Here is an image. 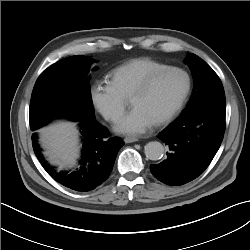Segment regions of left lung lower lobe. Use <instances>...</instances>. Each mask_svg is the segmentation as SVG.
<instances>
[{
	"label": "left lung lower lobe",
	"instance_id": "left-lung-lower-lobe-1",
	"mask_svg": "<svg viewBox=\"0 0 250 250\" xmlns=\"http://www.w3.org/2000/svg\"><path fill=\"white\" fill-rule=\"evenodd\" d=\"M225 96L206 102L169 124L158 138L167 147V158L150 166L159 181L179 186L188 183L209 166L225 131Z\"/></svg>",
	"mask_w": 250,
	"mask_h": 250
}]
</instances>
